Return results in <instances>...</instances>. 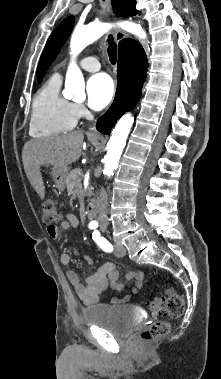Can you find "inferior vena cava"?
<instances>
[{"mask_svg":"<svg viewBox=\"0 0 221 379\" xmlns=\"http://www.w3.org/2000/svg\"><path fill=\"white\" fill-rule=\"evenodd\" d=\"M99 196H100V210H99L98 221L100 223L101 228L105 229L108 225V219H107L108 194L104 189H101Z\"/></svg>","mask_w":221,"mask_h":379,"instance_id":"1","label":"inferior vena cava"}]
</instances>
